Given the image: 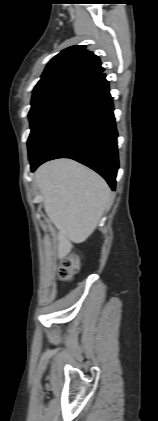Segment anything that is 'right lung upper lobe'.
<instances>
[{"mask_svg":"<svg viewBox=\"0 0 158 421\" xmlns=\"http://www.w3.org/2000/svg\"><path fill=\"white\" fill-rule=\"evenodd\" d=\"M103 70L99 58L84 45L72 46L49 61L34 91L62 83L81 86Z\"/></svg>","mask_w":158,"mask_h":421,"instance_id":"1","label":"right lung upper lobe"}]
</instances>
